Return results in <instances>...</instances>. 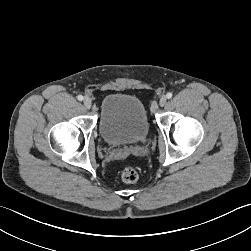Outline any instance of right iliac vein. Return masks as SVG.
<instances>
[{
  "label": "right iliac vein",
  "mask_w": 251,
  "mask_h": 251,
  "mask_svg": "<svg viewBox=\"0 0 251 251\" xmlns=\"http://www.w3.org/2000/svg\"><path fill=\"white\" fill-rule=\"evenodd\" d=\"M83 104H84V106H85L87 109H90V108H91V105H92L91 99L88 98V97H85L84 100H83Z\"/></svg>",
  "instance_id": "63e3f726"
}]
</instances>
